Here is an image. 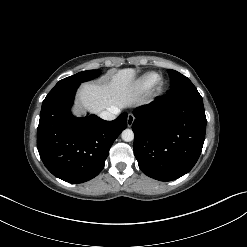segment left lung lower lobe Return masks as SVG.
Listing matches in <instances>:
<instances>
[{"label": "left lung lower lobe", "instance_id": "obj_1", "mask_svg": "<svg viewBox=\"0 0 247 247\" xmlns=\"http://www.w3.org/2000/svg\"><path fill=\"white\" fill-rule=\"evenodd\" d=\"M133 114L134 154L143 173L171 181L193 168L206 130L203 100L197 89L169 90Z\"/></svg>", "mask_w": 247, "mask_h": 247}]
</instances>
